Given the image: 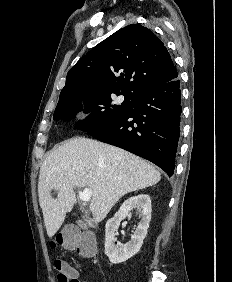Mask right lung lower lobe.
Returning a JSON list of instances; mask_svg holds the SVG:
<instances>
[{
    "label": "right lung lower lobe",
    "mask_w": 232,
    "mask_h": 282,
    "mask_svg": "<svg viewBox=\"0 0 232 282\" xmlns=\"http://www.w3.org/2000/svg\"><path fill=\"white\" fill-rule=\"evenodd\" d=\"M181 112L180 80L175 78L143 88L128 112L87 133L153 162L172 176Z\"/></svg>",
    "instance_id": "98d812e1"
}]
</instances>
